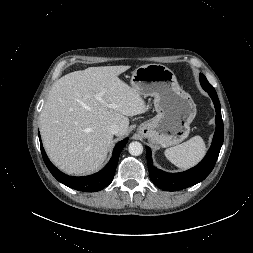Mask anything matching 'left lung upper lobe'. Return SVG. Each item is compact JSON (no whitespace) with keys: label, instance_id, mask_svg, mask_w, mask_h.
Masks as SVG:
<instances>
[{"label":"left lung upper lobe","instance_id":"5c2ea615","mask_svg":"<svg viewBox=\"0 0 253 253\" xmlns=\"http://www.w3.org/2000/svg\"><path fill=\"white\" fill-rule=\"evenodd\" d=\"M200 83H201V85H204V84H209V85H211V84L207 81L206 77H205L203 74H200Z\"/></svg>","mask_w":253,"mask_h":253}]
</instances>
